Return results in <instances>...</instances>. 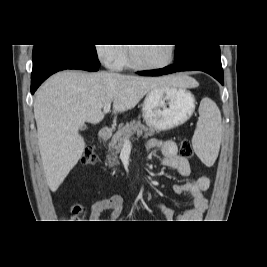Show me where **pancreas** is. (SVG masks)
<instances>
[{
	"mask_svg": "<svg viewBox=\"0 0 267 267\" xmlns=\"http://www.w3.org/2000/svg\"><path fill=\"white\" fill-rule=\"evenodd\" d=\"M143 132L144 137L147 138L148 136L154 135L155 129L153 127H146L141 124L140 121H132L119 129L113 135L111 142L109 143V151L111 152L112 157H107L106 165L114 166L117 163V154L120 152L127 138L131 137L134 133L139 136Z\"/></svg>",
	"mask_w": 267,
	"mask_h": 267,
	"instance_id": "cf45deb5",
	"label": "pancreas"
}]
</instances>
